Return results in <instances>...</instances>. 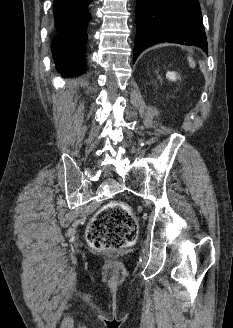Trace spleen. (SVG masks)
I'll list each match as a JSON object with an SVG mask.
<instances>
[{
  "label": "spleen",
  "mask_w": 233,
  "mask_h": 328,
  "mask_svg": "<svg viewBox=\"0 0 233 328\" xmlns=\"http://www.w3.org/2000/svg\"><path fill=\"white\" fill-rule=\"evenodd\" d=\"M188 62H189L190 67L195 68L196 63L191 55L188 56Z\"/></svg>",
  "instance_id": "3e777b00"
}]
</instances>
